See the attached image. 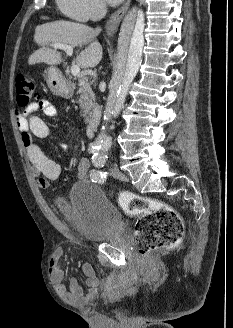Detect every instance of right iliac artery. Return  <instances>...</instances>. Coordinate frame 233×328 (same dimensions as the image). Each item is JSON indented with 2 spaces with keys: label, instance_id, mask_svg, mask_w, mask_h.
Listing matches in <instances>:
<instances>
[{
  "label": "right iliac artery",
  "instance_id": "obj_1",
  "mask_svg": "<svg viewBox=\"0 0 233 328\" xmlns=\"http://www.w3.org/2000/svg\"><path fill=\"white\" fill-rule=\"evenodd\" d=\"M102 149H103V146L96 145V144H91L90 148H89V151H90V153L95 154V153L99 152Z\"/></svg>",
  "mask_w": 233,
  "mask_h": 328
}]
</instances>
